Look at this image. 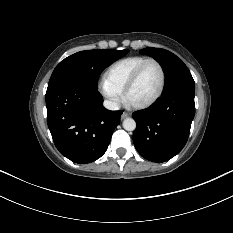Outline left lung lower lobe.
<instances>
[{"label": "left lung lower lobe", "mask_w": 233, "mask_h": 233, "mask_svg": "<svg viewBox=\"0 0 233 233\" xmlns=\"http://www.w3.org/2000/svg\"><path fill=\"white\" fill-rule=\"evenodd\" d=\"M194 96L195 88H176L163 93L152 107L133 113V142L142 157L165 162L183 149L195 114Z\"/></svg>", "instance_id": "obj_1"}]
</instances>
